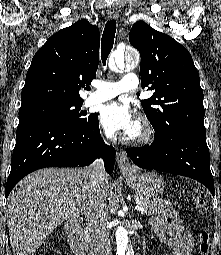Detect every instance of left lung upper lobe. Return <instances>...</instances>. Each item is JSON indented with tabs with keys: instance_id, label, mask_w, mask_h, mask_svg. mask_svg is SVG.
<instances>
[{
	"instance_id": "obj_1",
	"label": "left lung upper lobe",
	"mask_w": 221,
	"mask_h": 255,
	"mask_svg": "<svg viewBox=\"0 0 221 255\" xmlns=\"http://www.w3.org/2000/svg\"><path fill=\"white\" fill-rule=\"evenodd\" d=\"M129 41L140 52L142 88L155 91L141 101L155 135L169 136L181 129L206 133L203 90L188 50L144 21L133 25Z\"/></svg>"
}]
</instances>
